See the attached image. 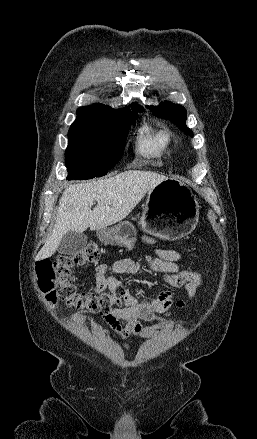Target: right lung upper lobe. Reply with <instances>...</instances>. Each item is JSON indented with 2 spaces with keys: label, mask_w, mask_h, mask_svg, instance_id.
Listing matches in <instances>:
<instances>
[{
  "label": "right lung upper lobe",
  "mask_w": 257,
  "mask_h": 439,
  "mask_svg": "<svg viewBox=\"0 0 257 439\" xmlns=\"http://www.w3.org/2000/svg\"><path fill=\"white\" fill-rule=\"evenodd\" d=\"M131 106H133L132 108L133 111H130L129 107H126L121 110H115L110 106L103 104L84 106V107H80L77 110V118H99V119L116 121L125 118L127 114L144 111L143 107L139 106L137 103L131 104Z\"/></svg>",
  "instance_id": "1"
}]
</instances>
